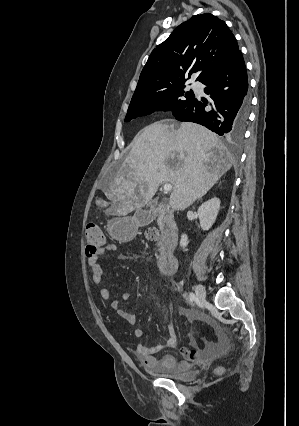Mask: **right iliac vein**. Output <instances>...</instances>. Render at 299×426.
<instances>
[{
	"label": "right iliac vein",
	"mask_w": 299,
	"mask_h": 426,
	"mask_svg": "<svg viewBox=\"0 0 299 426\" xmlns=\"http://www.w3.org/2000/svg\"><path fill=\"white\" fill-rule=\"evenodd\" d=\"M195 293H196V298H197L199 303H202L203 301H205L206 291H205V288H204L203 285L197 284L195 286Z\"/></svg>",
	"instance_id": "obj_1"
}]
</instances>
